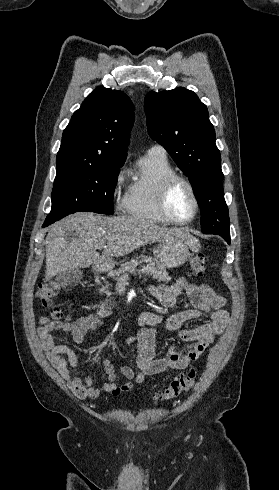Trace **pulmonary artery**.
I'll use <instances>...</instances> for the list:
<instances>
[{"instance_id":"1","label":"pulmonary artery","mask_w":279,"mask_h":490,"mask_svg":"<svg viewBox=\"0 0 279 490\" xmlns=\"http://www.w3.org/2000/svg\"><path fill=\"white\" fill-rule=\"evenodd\" d=\"M147 154H155L160 156H167L165 148L161 144H154L148 150Z\"/></svg>"}]
</instances>
